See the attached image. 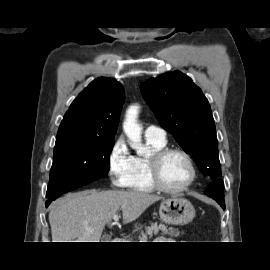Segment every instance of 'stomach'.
Masks as SVG:
<instances>
[{
    "label": "stomach",
    "mask_w": 270,
    "mask_h": 270,
    "mask_svg": "<svg viewBox=\"0 0 270 270\" xmlns=\"http://www.w3.org/2000/svg\"><path fill=\"white\" fill-rule=\"evenodd\" d=\"M160 218L168 224L186 225L195 217V209L190 201L185 198L172 196L164 199L159 208ZM141 227L135 225V230H140Z\"/></svg>",
    "instance_id": "1"
}]
</instances>
